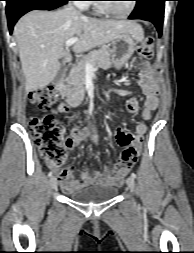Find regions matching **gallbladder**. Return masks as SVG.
<instances>
[{"label":"gallbladder","instance_id":"bac80fb5","mask_svg":"<svg viewBox=\"0 0 194 253\" xmlns=\"http://www.w3.org/2000/svg\"><path fill=\"white\" fill-rule=\"evenodd\" d=\"M64 74H65V65L63 63H61L59 71L54 78V81L59 82L62 79V77L64 76Z\"/></svg>","mask_w":194,"mask_h":253}]
</instances>
